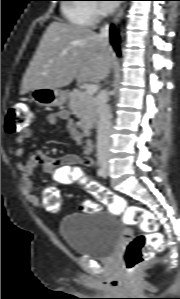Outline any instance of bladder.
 Returning <instances> with one entry per match:
<instances>
[{
	"mask_svg": "<svg viewBox=\"0 0 180 299\" xmlns=\"http://www.w3.org/2000/svg\"><path fill=\"white\" fill-rule=\"evenodd\" d=\"M59 231L74 253L97 260L108 259L123 235L120 221L108 210L69 214L60 222Z\"/></svg>",
	"mask_w": 180,
	"mask_h": 299,
	"instance_id": "1",
	"label": "bladder"
}]
</instances>
